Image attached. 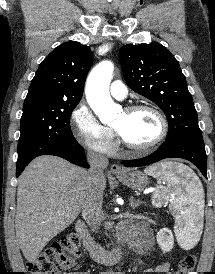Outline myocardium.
Returning <instances> with one entry per match:
<instances>
[{
  "mask_svg": "<svg viewBox=\"0 0 215 274\" xmlns=\"http://www.w3.org/2000/svg\"><path fill=\"white\" fill-rule=\"evenodd\" d=\"M139 110H148L156 115L160 122V132L158 136L152 140L151 142L144 144V145H135L123 138V136L118 132L117 129L114 128L115 132L117 133L121 143L128 149L139 152V153H145L148 151L153 150L156 148L164 139L167 137L169 132V123L164 115V113L155 105L149 104V103H138V104H132L127 106L124 111L127 113H132Z\"/></svg>",
  "mask_w": 215,
  "mask_h": 274,
  "instance_id": "f54148a6",
  "label": "myocardium"
}]
</instances>
